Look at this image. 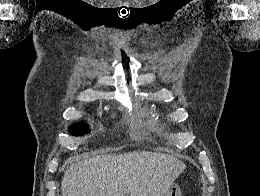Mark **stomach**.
<instances>
[{
    "label": "stomach",
    "instance_id": "0dacf381",
    "mask_svg": "<svg viewBox=\"0 0 260 196\" xmlns=\"http://www.w3.org/2000/svg\"><path fill=\"white\" fill-rule=\"evenodd\" d=\"M163 196H183V187H168L167 193Z\"/></svg>",
    "mask_w": 260,
    "mask_h": 196
}]
</instances>
